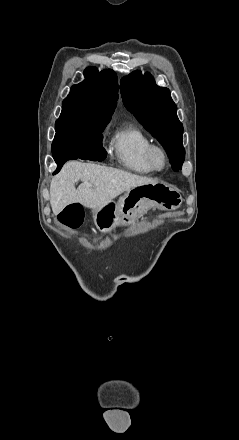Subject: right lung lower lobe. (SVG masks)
Listing matches in <instances>:
<instances>
[{
	"mask_svg": "<svg viewBox=\"0 0 239 440\" xmlns=\"http://www.w3.org/2000/svg\"><path fill=\"white\" fill-rule=\"evenodd\" d=\"M53 157L57 163V170L55 171L57 173L67 160L80 158L103 161L106 158V152L102 145H83L53 154Z\"/></svg>",
	"mask_w": 239,
	"mask_h": 440,
	"instance_id": "1",
	"label": "right lung lower lobe"
}]
</instances>
